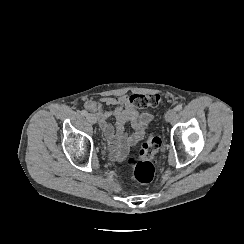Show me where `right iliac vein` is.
Segmentation results:
<instances>
[{"label": "right iliac vein", "instance_id": "63e3f726", "mask_svg": "<svg viewBox=\"0 0 244 244\" xmlns=\"http://www.w3.org/2000/svg\"><path fill=\"white\" fill-rule=\"evenodd\" d=\"M86 118H87V120H88L91 124H96V122H97V119H96L95 115H93V114H87V115H86Z\"/></svg>", "mask_w": 244, "mask_h": 244}]
</instances>
